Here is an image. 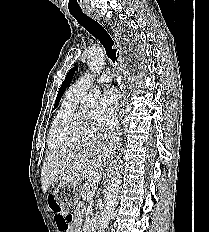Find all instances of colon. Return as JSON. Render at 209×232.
I'll return each mask as SVG.
<instances>
[{"label":"colon","instance_id":"obj_1","mask_svg":"<svg viewBox=\"0 0 209 232\" xmlns=\"http://www.w3.org/2000/svg\"><path fill=\"white\" fill-rule=\"evenodd\" d=\"M47 206H51V211L55 212L56 223L59 228L65 229L72 221V215L63 211L60 206H57V201L55 197H52L51 193L47 194L46 197Z\"/></svg>","mask_w":209,"mask_h":232}]
</instances>
